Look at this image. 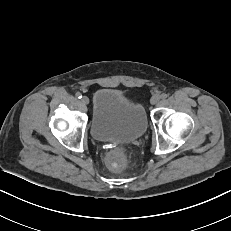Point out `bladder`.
I'll use <instances>...</instances> for the list:
<instances>
[{
	"label": "bladder",
	"instance_id": "31cf9c89",
	"mask_svg": "<svg viewBox=\"0 0 231 231\" xmlns=\"http://www.w3.org/2000/svg\"><path fill=\"white\" fill-rule=\"evenodd\" d=\"M147 130L144 107L109 88L97 90L92 99L90 131L101 142H131Z\"/></svg>",
	"mask_w": 231,
	"mask_h": 231
}]
</instances>
